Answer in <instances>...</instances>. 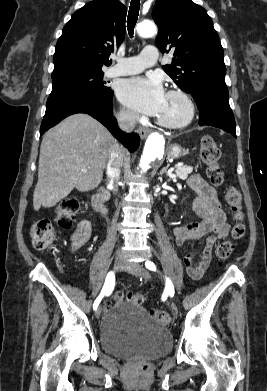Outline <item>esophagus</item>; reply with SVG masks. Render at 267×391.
<instances>
[{
	"label": "esophagus",
	"mask_w": 267,
	"mask_h": 391,
	"mask_svg": "<svg viewBox=\"0 0 267 391\" xmlns=\"http://www.w3.org/2000/svg\"><path fill=\"white\" fill-rule=\"evenodd\" d=\"M138 133L142 139L146 138L147 135L150 133V130L144 127H139Z\"/></svg>",
	"instance_id": "obj_1"
}]
</instances>
